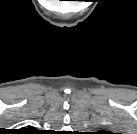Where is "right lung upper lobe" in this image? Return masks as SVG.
Returning a JSON list of instances; mask_svg holds the SVG:
<instances>
[{
  "instance_id": "1",
  "label": "right lung upper lobe",
  "mask_w": 137,
  "mask_h": 134,
  "mask_svg": "<svg viewBox=\"0 0 137 134\" xmlns=\"http://www.w3.org/2000/svg\"><path fill=\"white\" fill-rule=\"evenodd\" d=\"M23 130H33V127L29 126L28 129H23Z\"/></svg>"
}]
</instances>
